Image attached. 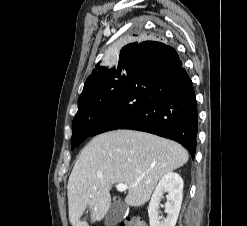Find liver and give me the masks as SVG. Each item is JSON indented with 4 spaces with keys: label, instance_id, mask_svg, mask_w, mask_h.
<instances>
[{
    "label": "liver",
    "instance_id": "1",
    "mask_svg": "<svg viewBox=\"0 0 247 226\" xmlns=\"http://www.w3.org/2000/svg\"><path fill=\"white\" fill-rule=\"evenodd\" d=\"M188 158L180 144L149 133L115 130L97 135L80 153L68 180L71 225L89 226L81 220L87 207L91 223L103 219L115 183L128 186V205L143 206L158 181L187 163Z\"/></svg>",
    "mask_w": 247,
    "mask_h": 226
}]
</instances>
